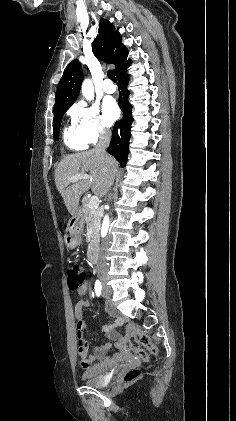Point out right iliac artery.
I'll list each match as a JSON object with an SVG mask.
<instances>
[{"instance_id":"82829eb1","label":"right iliac artery","mask_w":236,"mask_h":421,"mask_svg":"<svg viewBox=\"0 0 236 421\" xmlns=\"http://www.w3.org/2000/svg\"><path fill=\"white\" fill-rule=\"evenodd\" d=\"M94 288H95L96 295L97 296H100L101 295V290H102V285H101V282L99 280H96L95 287Z\"/></svg>"}]
</instances>
